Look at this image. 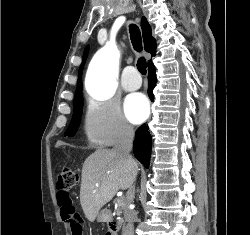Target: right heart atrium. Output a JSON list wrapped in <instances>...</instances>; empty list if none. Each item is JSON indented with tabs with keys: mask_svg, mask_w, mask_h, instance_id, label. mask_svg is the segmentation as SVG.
<instances>
[{
	"mask_svg": "<svg viewBox=\"0 0 250 235\" xmlns=\"http://www.w3.org/2000/svg\"><path fill=\"white\" fill-rule=\"evenodd\" d=\"M83 130L92 144L111 146L128 142L134 137V128L118 104L110 100L87 102Z\"/></svg>",
	"mask_w": 250,
	"mask_h": 235,
	"instance_id": "right-heart-atrium-1",
	"label": "right heart atrium"
}]
</instances>
